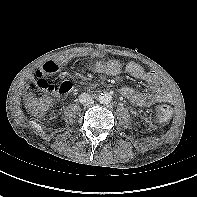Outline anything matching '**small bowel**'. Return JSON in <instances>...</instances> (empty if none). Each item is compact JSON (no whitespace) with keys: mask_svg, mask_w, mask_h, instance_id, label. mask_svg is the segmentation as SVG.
<instances>
[{"mask_svg":"<svg viewBox=\"0 0 197 197\" xmlns=\"http://www.w3.org/2000/svg\"><path fill=\"white\" fill-rule=\"evenodd\" d=\"M101 52H94L93 57L100 58ZM72 57L62 58L58 61H48L44 63L35 73L37 78L45 75H52L59 72ZM126 72L132 77L146 82L149 86L148 92H139L132 87H122L120 94L131 101L133 104L141 107L150 106L161 101H170L173 96L168 82L156 72L146 71L136 63H129L126 66ZM93 72L106 75H117L122 67L119 61L115 59L102 61L98 60L92 67Z\"/></svg>","mask_w":197,"mask_h":197,"instance_id":"1","label":"small bowel"}]
</instances>
